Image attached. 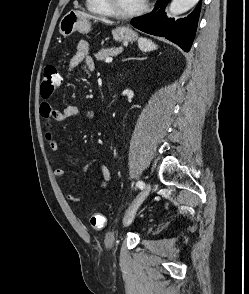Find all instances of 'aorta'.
I'll return each instance as SVG.
<instances>
[{
	"label": "aorta",
	"instance_id": "obj_1",
	"mask_svg": "<svg viewBox=\"0 0 249 294\" xmlns=\"http://www.w3.org/2000/svg\"><path fill=\"white\" fill-rule=\"evenodd\" d=\"M199 0H172L169 12L172 15H179L187 12L198 3Z\"/></svg>",
	"mask_w": 249,
	"mask_h": 294
}]
</instances>
